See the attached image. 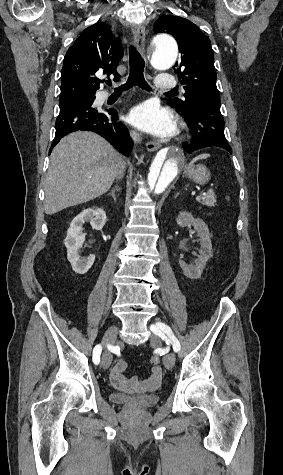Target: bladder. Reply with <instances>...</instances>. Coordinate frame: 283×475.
<instances>
[{"mask_svg": "<svg viewBox=\"0 0 283 475\" xmlns=\"http://www.w3.org/2000/svg\"><path fill=\"white\" fill-rule=\"evenodd\" d=\"M113 397L116 403L127 404L129 406H136L141 409H147L156 405L160 399L159 394L131 395V394L115 393Z\"/></svg>", "mask_w": 283, "mask_h": 475, "instance_id": "1", "label": "bladder"}]
</instances>
